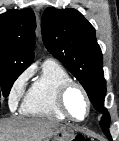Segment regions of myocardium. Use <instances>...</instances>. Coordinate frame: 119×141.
Wrapping results in <instances>:
<instances>
[{
	"label": "myocardium",
	"instance_id": "f54148a6",
	"mask_svg": "<svg viewBox=\"0 0 119 141\" xmlns=\"http://www.w3.org/2000/svg\"><path fill=\"white\" fill-rule=\"evenodd\" d=\"M73 88L79 89L86 101L87 111H86L85 116L81 119L74 118L70 114L67 108L66 98H67L69 91ZM57 105H58L60 112L65 116V118L71 121H74V122L84 121L91 112V100H90V97L86 89L80 83L73 81V80L67 81L59 87L58 92H57Z\"/></svg>",
	"mask_w": 119,
	"mask_h": 141
}]
</instances>
